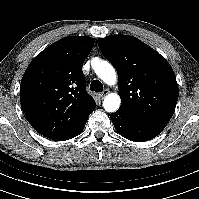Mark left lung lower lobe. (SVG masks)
<instances>
[{
  "label": "left lung lower lobe",
  "instance_id": "1",
  "mask_svg": "<svg viewBox=\"0 0 199 199\" xmlns=\"http://www.w3.org/2000/svg\"><path fill=\"white\" fill-rule=\"evenodd\" d=\"M116 130L126 139L135 142L148 141L164 129L153 123L141 120L128 111L120 109L110 115Z\"/></svg>",
  "mask_w": 199,
  "mask_h": 199
}]
</instances>
